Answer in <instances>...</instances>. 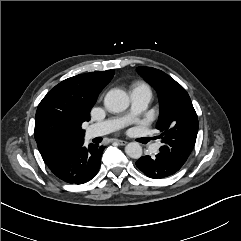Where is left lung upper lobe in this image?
Masks as SVG:
<instances>
[{"mask_svg":"<svg viewBox=\"0 0 241 241\" xmlns=\"http://www.w3.org/2000/svg\"><path fill=\"white\" fill-rule=\"evenodd\" d=\"M138 73L158 93L160 115L156 128L163 145L158 154L182 167L195 145L198 117L186 90L166 73L152 67H138Z\"/></svg>","mask_w":241,"mask_h":241,"instance_id":"5c2ea615","label":"left lung upper lobe"}]
</instances>
